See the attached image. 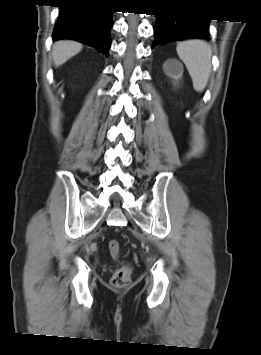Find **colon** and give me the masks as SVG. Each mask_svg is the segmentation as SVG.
Returning a JSON list of instances; mask_svg holds the SVG:
<instances>
[{
  "instance_id": "1",
  "label": "colon",
  "mask_w": 261,
  "mask_h": 355,
  "mask_svg": "<svg viewBox=\"0 0 261 355\" xmlns=\"http://www.w3.org/2000/svg\"><path fill=\"white\" fill-rule=\"evenodd\" d=\"M108 250L113 258H117L120 252V244L117 240H111L108 243ZM132 268L128 264H123L118 268L112 278L111 284L115 288H124L129 285L131 280Z\"/></svg>"
}]
</instances>
